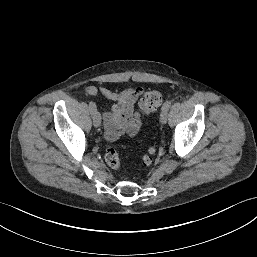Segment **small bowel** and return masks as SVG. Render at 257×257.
<instances>
[{"label": "small bowel", "instance_id": "1", "mask_svg": "<svg viewBox=\"0 0 257 257\" xmlns=\"http://www.w3.org/2000/svg\"><path fill=\"white\" fill-rule=\"evenodd\" d=\"M84 93L91 96H103L116 102L111 108L103 110L107 140L114 141L124 133L137 134L142 122L135 104L144 95V88L129 87L122 91H112L105 87L90 85L84 88Z\"/></svg>", "mask_w": 257, "mask_h": 257}]
</instances>
